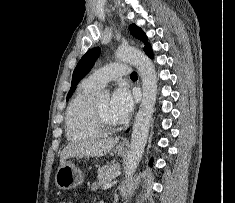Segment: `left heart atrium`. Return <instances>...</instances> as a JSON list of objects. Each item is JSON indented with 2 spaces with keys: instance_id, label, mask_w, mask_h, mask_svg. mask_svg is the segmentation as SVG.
<instances>
[{
  "instance_id": "obj_1",
  "label": "left heart atrium",
  "mask_w": 235,
  "mask_h": 203,
  "mask_svg": "<svg viewBox=\"0 0 235 203\" xmlns=\"http://www.w3.org/2000/svg\"><path fill=\"white\" fill-rule=\"evenodd\" d=\"M134 108V96L125 86H119L112 94L109 110L113 117L123 122L132 112Z\"/></svg>"
}]
</instances>
